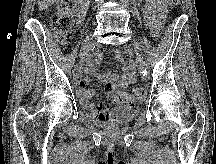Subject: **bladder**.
I'll list each match as a JSON object with an SVG mask.
<instances>
[{
  "instance_id": "31cf9c89",
  "label": "bladder",
  "mask_w": 216,
  "mask_h": 164,
  "mask_svg": "<svg viewBox=\"0 0 216 164\" xmlns=\"http://www.w3.org/2000/svg\"><path fill=\"white\" fill-rule=\"evenodd\" d=\"M138 113L137 108L131 106H124L116 109L115 115L105 121H97L96 123L106 127H116L127 124L131 118Z\"/></svg>"
}]
</instances>
